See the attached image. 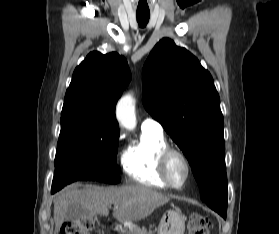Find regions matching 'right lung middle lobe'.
Returning <instances> with one entry per match:
<instances>
[{
  "label": "right lung middle lobe",
  "instance_id": "right-lung-middle-lobe-1",
  "mask_svg": "<svg viewBox=\"0 0 279 234\" xmlns=\"http://www.w3.org/2000/svg\"><path fill=\"white\" fill-rule=\"evenodd\" d=\"M119 131L82 117L61 118L52 193L76 180L120 182L116 158Z\"/></svg>",
  "mask_w": 279,
  "mask_h": 234
}]
</instances>
